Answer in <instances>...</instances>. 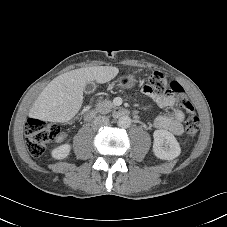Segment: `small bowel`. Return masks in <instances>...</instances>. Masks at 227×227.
Here are the masks:
<instances>
[{
    "mask_svg": "<svg viewBox=\"0 0 227 227\" xmlns=\"http://www.w3.org/2000/svg\"><path fill=\"white\" fill-rule=\"evenodd\" d=\"M141 94L148 99H152L159 107L172 110L171 115H159L154 120V127L171 132L174 135H180L183 132V120L184 113L178 107L175 98L172 96L170 89H163L161 96L159 90L156 87H152L149 83H144L141 86ZM63 136H60L58 140H62Z\"/></svg>",
    "mask_w": 227,
    "mask_h": 227,
    "instance_id": "small-bowel-1",
    "label": "small bowel"
}]
</instances>
